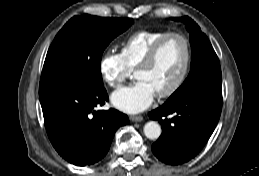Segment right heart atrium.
<instances>
[{
    "label": "right heart atrium",
    "mask_w": 259,
    "mask_h": 176,
    "mask_svg": "<svg viewBox=\"0 0 259 176\" xmlns=\"http://www.w3.org/2000/svg\"><path fill=\"white\" fill-rule=\"evenodd\" d=\"M99 73L108 86L120 88L129 77L130 70L119 53L106 52L99 61Z\"/></svg>",
    "instance_id": "d8ad5b80"
}]
</instances>
